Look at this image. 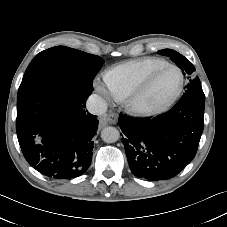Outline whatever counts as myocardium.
<instances>
[{
	"label": "myocardium",
	"instance_id": "myocardium-1",
	"mask_svg": "<svg viewBox=\"0 0 227 227\" xmlns=\"http://www.w3.org/2000/svg\"><path fill=\"white\" fill-rule=\"evenodd\" d=\"M175 69L179 74V84L174 93L164 102L153 107H144L140 104V99L149 90L155 79L165 70ZM184 86V75L182 70L174 65L167 64L153 71L145 80L139 84L133 91L125 97V106L127 110L139 117H154L165 112L180 96Z\"/></svg>",
	"mask_w": 227,
	"mask_h": 227
}]
</instances>
